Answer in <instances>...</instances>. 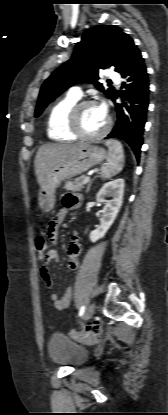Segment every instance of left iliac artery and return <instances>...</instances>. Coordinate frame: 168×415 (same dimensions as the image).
<instances>
[{
	"mask_svg": "<svg viewBox=\"0 0 168 415\" xmlns=\"http://www.w3.org/2000/svg\"><path fill=\"white\" fill-rule=\"evenodd\" d=\"M84 312H85V306L83 305V306L80 308V311H79V316H82V315L84 314Z\"/></svg>",
	"mask_w": 168,
	"mask_h": 415,
	"instance_id": "obj_1",
	"label": "left iliac artery"
}]
</instances>
